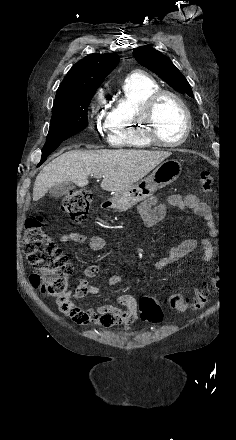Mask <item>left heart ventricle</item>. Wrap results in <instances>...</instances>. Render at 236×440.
<instances>
[{"mask_svg": "<svg viewBox=\"0 0 236 440\" xmlns=\"http://www.w3.org/2000/svg\"><path fill=\"white\" fill-rule=\"evenodd\" d=\"M155 117L159 137L164 141H177L185 129V116L179 104L171 97L160 100Z\"/></svg>", "mask_w": 236, "mask_h": 440, "instance_id": "1", "label": "left heart ventricle"}]
</instances>
